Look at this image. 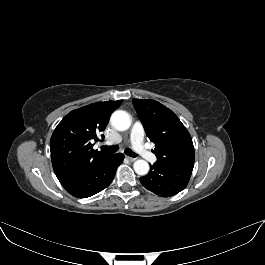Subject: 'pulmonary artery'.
I'll return each instance as SVG.
<instances>
[{"label": "pulmonary artery", "instance_id": "pulmonary-artery-1", "mask_svg": "<svg viewBox=\"0 0 265 265\" xmlns=\"http://www.w3.org/2000/svg\"><path fill=\"white\" fill-rule=\"evenodd\" d=\"M144 129L140 122L136 121L133 123L130 130V142L132 148L139 153L147 161L154 163L157 161V157L149 151L144 143Z\"/></svg>", "mask_w": 265, "mask_h": 265}]
</instances>
